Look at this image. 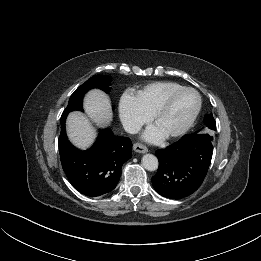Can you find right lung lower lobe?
<instances>
[{
    "mask_svg": "<svg viewBox=\"0 0 261 261\" xmlns=\"http://www.w3.org/2000/svg\"><path fill=\"white\" fill-rule=\"evenodd\" d=\"M63 170L80 193L97 197L113 191L120 179L124 162L131 158L132 142L102 130L95 144L86 151L76 149L68 140L65 121L58 140Z\"/></svg>",
    "mask_w": 261,
    "mask_h": 261,
    "instance_id": "98d812e1",
    "label": "right lung lower lobe"
}]
</instances>
